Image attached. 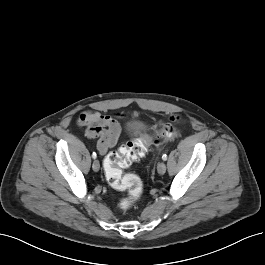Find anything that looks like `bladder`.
<instances>
[{
    "label": "bladder",
    "instance_id": "bladder-1",
    "mask_svg": "<svg viewBox=\"0 0 265 265\" xmlns=\"http://www.w3.org/2000/svg\"><path fill=\"white\" fill-rule=\"evenodd\" d=\"M144 125L142 122L135 121L131 122L126 127V133L129 136L138 137L143 131Z\"/></svg>",
    "mask_w": 265,
    "mask_h": 265
}]
</instances>
